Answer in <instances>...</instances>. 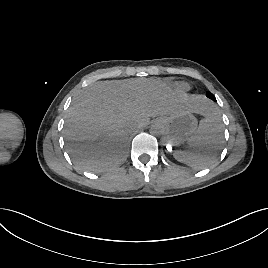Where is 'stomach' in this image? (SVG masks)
Listing matches in <instances>:
<instances>
[{"instance_id": "stomach-1", "label": "stomach", "mask_w": 268, "mask_h": 268, "mask_svg": "<svg viewBox=\"0 0 268 268\" xmlns=\"http://www.w3.org/2000/svg\"><path fill=\"white\" fill-rule=\"evenodd\" d=\"M156 123L162 129L167 142L175 146L188 141L197 129V119L188 110L160 116Z\"/></svg>"}]
</instances>
